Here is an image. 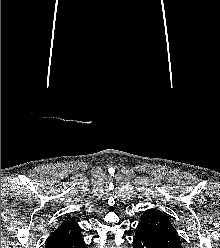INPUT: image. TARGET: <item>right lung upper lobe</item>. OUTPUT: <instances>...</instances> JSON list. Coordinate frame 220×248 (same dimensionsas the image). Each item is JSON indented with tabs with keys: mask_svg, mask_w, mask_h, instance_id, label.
<instances>
[{
	"mask_svg": "<svg viewBox=\"0 0 220 248\" xmlns=\"http://www.w3.org/2000/svg\"><path fill=\"white\" fill-rule=\"evenodd\" d=\"M81 228L74 218L62 223L48 238L45 248H59L74 239L80 238Z\"/></svg>",
	"mask_w": 220,
	"mask_h": 248,
	"instance_id": "cb5924a9",
	"label": "right lung upper lobe"
}]
</instances>
